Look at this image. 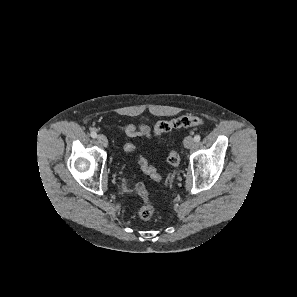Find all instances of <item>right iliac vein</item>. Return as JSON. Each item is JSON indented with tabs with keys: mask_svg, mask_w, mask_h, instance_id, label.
Segmentation results:
<instances>
[{
	"mask_svg": "<svg viewBox=\"0 0 297 297\" xmlns=\"http://www.w3.org/2000/svg\"><path fill=\"white\" fill-rule=\"evenodd\" d=\"M97 141L103 147H106L108 145L107 138L104 135H102V134L98 135Z\"/></svg>",
	"mask_w": 297,
	"mask_h": 297,
	"instance_id": "right-iliac-vein-1",
	"label": "right iliac vein"
}]
</instances>
